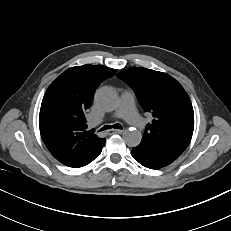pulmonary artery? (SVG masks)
Returning <instances> with one entry per match:
<instances>
[{
  "instance_id": "pulmonary-artery-1",
  "label": "pulmonary artery",
  "mask_w": 231,
  "mask_h": 231,
  "mask_svg": "<svg viewBox=\"0 0 231 231\" xmlns=\"http://www.w3.org/2000/svg\"><path fill=\"white\" fill-rule=\"evenodd\" d=\"M115 116L125 119L130 125L138 130L142 129L145 125L143 119H141L136 112L135 96L130 90L123 91Z\"/></svg>"
}]
</instances>
